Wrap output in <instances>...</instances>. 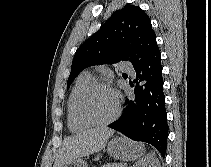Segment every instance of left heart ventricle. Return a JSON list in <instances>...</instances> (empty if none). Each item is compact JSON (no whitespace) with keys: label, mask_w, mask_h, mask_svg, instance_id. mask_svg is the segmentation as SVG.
Instances as JSON below:
<instances>
[{"label":"left heart ventricle","mask_w":211,"mask_h":167,"mask_svg":"<svg viewBox=\"0 0 211 167\" xmlns=\"http://www.w3.org/2000/svg\"><path fill=\"white\" fill-rule=\"evenodd\" d=\"M82 110L89 118L104 121L115 111V101L112 94L104 88H94L82 101Z\"/></svg>","instance_id":"b2bd125f"}]
</instances>
